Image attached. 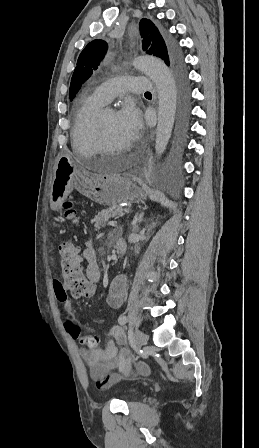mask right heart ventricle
Returning a JSON list of instances; mask_svg holds the SVG:
<instances>
[{
    "mask_svg": "<svg viewBox=\"0 0 259 448\" xmlns=\"http://www.w3.org/2000/svg\"><path fill=\"white\" fill-rule=\"evenodd\" d=\"M105 103L98 98L95 90L84 95L80 110H77L71 131L73 148L79 150H97V115Z\"/></svg>",
    "mask_w": 259,
    "mask_h": 448,
    "instance_id": "e07e8e85",
    "label": "right heart ventricle"
}]
</instances>
